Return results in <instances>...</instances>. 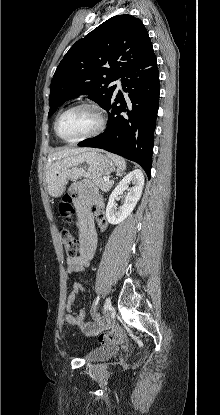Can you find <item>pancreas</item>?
I'll use <instances>...</instances> for the list:
<instances>
[{
	"label": "pancreas",
	"instance_id": "pancreas-1",
	"mask_svg": "<svg viewBox=\"0 0 220 415\" xmlns=\"http://www.w3.org/2000/svg\"><path fill=\"white\" fill-rule=\"evenodd\" d=\"M95 186L103 192H108L114 184V181H105L104 178H97L93 180Z\"/></svg>",
	"mask_w": 220,
	"mask_h": 415
}]
</instances>
